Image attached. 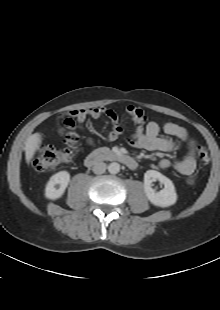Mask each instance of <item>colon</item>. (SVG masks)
<instances>
[{
  "mask_svg": "<svg viewBox=\"0 0 220 310\" xmlns=\"http://www.w3.org/2000/svg\"><path fill=\"white\" fill-rule=\"evenodd\" d=\"M66 125L69 129H71L66 137L67 147L61 149L49 145H39L33 161V166L36 170H52L71 159L73 151L79 143V137L78 134L73 130L74 122L72 120H68ZM196 155L199 163L202 166H207L210 163V155L206 147L198 145L196 147Z\"/></svg>",
  "mask_w": 220,
  "mask_h": 310,
  "instance_id": "1",
  "label": "colon"
}]
</instances>
